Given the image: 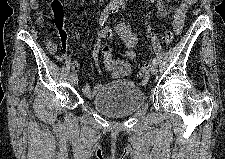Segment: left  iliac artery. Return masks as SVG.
I'll return each instance as SVG.
<instances>
[{
    "instance_id": "left-iliac-artery-1",
    "label": "left iliac artery",
    "mask_w": 225,
    "mask_h": 159,
    "mask_svg": "<svg viewBox=\"0 0 225 159\" xmlns=\"http://www.w3.org/2000/svg\"><path fill=\"white\" fill-rule=\"evenodd\" d=\"M118 10H119V7H115L113 13H117ZM152 64L157 65V59H156V58H153V59H152Z\"/></svg>"
}]
</instances>
